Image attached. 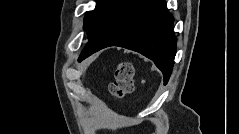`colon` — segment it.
<instances>
[{
    "label": "colon",
    "mask_w": 239,
    "mask_h": 134,
    "mask_svg": "<svg viewBox=\"0 0 239 134\" xmlns=\"http://www.w3.org/2000/svg\"><path fill=\"white\" fill-rule=\"evenodd\" d=\"M134 68L128 61L120 62L115 70V79L109 86L113 97L122 98L133 90Z\"/></svg>",
    "instance_id": "5ec220e1"
}]
</instances>
